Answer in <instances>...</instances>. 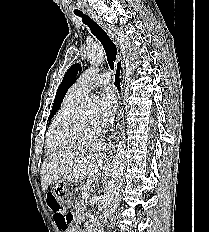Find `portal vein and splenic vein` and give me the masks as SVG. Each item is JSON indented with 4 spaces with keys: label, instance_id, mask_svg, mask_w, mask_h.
Returning a JSON list of instances; mask_svg holds the SVG:
<instances>
[{
    "label": "portal vein and splenic vein",
    "instance_id": "portal-vein-and-splenic-vein-1",
    "mask_svg": "<svg viewBox=\"0 0 209 232\" xmlns=\"http://www.w3.org/2000/svg\"><path fill=\"white\" fill-rule=\"evenodd\" d=\"M82 199H83V200H88V199H89L88 193H83V194H82Z\"/></svg>",
    "mask_w": 209,
    "mask_h": 232
}]
</instances>
